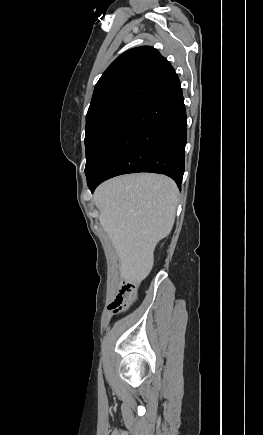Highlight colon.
I'll return each mask as SVG.
<instances>
[{"instance_id": "1", "label": "colon", "mask_w": 263, "mask_h": 435, "mask_svg": "<svg viewBox=\"0 0 263 435\" xmlns=\"http://www.w3.org/2000/svg\"><path fill=\"white\" fill-rule=\"evenodd\" d=\"M137 283L134 281H123L118 296L112 303L111 309L115 314L126 310L135 300Z\"/></svg>"}]
</instances>
